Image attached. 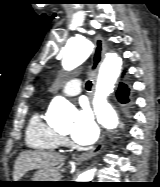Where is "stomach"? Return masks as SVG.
I'll return each instance as SVG.
<instances>
[{
  "instance_id": "0dacf381",
  "label": "stomach",
  "mask_w": 160,
  "mask_h": 187,
  "mask_svg": "<svg viewBox=\"0 0 160 187\" xmlns=\"http://www.w3.org/2000/svg\"><path fill=\"white\" fill-rule=\"evenodd\" d=\"M59 173L54 168L45 169V170H39L37 171L32 180L28 182L30 187H48L52 186V182H59Z\"/></svg>"
}]
</instances>
